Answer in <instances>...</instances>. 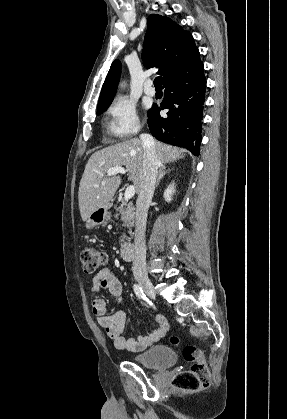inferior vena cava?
Returning <instances> with one entry per match:
<instances>
[{
	"label": "inferior vena cava",
	"mask_w": 287,
	"mask_h": 419,
	"mask_svg": "<svg viewBox=\"0 0 287 419\" xmlns=\"http://www.w3.org/2000/svg\"><path fill=\"white\" fill-rule=\"evenodd\" d=\"M140 140L144 148V161L142 182L136 201L134 260L132 267L135 277L147 276L145 245L147 212L154 194L156 177L160 166L153 137L149 134H141Z\"/></svg>",
	"instance_id": "1"
}]
</instances>
